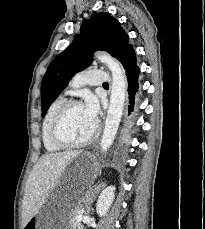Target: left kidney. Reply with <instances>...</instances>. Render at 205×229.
Here are the masks:
<instances>
[{"instance_id": "1", "label": "left kidney", "mask_w": 205, "mask_h": 229, "mask_svg": "<svg viewBox=\"0 0 205 229\" xmlns=\"http://www.w3.org/2000/svg\"><path fill=\"white\" fill-rule=\"evenodd\" d=\"M114 191V186H108L101 192L96 204V212L99 216H104L107 213L114 200Z\"/></svg>"}]
</instances>
